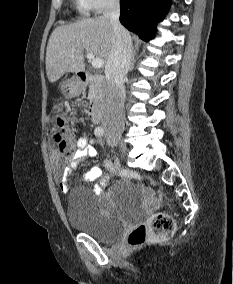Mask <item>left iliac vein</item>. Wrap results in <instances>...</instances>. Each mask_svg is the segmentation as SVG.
Wrapping results in <instances>:
<instances>
[{
	"label": "left iliac vein",
	"mask_w": 233,
	"mask_h": 284,
	"mask_svg": "<svg viewBox=\"0 0 233 284\" xmlns=\"http://www.w3.org/2000/svg\"><path fill=\"white\" fill-rule=\"evenodd\" d=\"M108 142L112 145V146H116L117 143L112 139V138H108Z\"/></svg>",
	"instance_id": "left-iliac-vein-1"
}]
</instances>
